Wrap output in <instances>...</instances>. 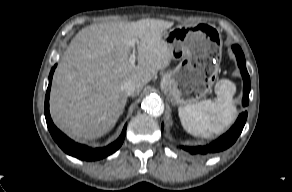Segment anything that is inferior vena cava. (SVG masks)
I'll return each mask as SVG.
<instances>
[{"instance_id":"inferior-vena-cava-1","label":"inferior vena cava","mask_w":292,"mask_h":192,"mask_svg":"<svg viewBox=\"0 0 292 192\" xmlns=\"http://www.w3.org/2000/svg\"><path fill=\"white\" fill-rule=\"evenodd\" d=\"M122 89L126 96H131L136 92V87L131 81H126L123 84Z\"/></svg>"}]
</instances>
